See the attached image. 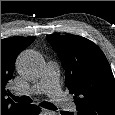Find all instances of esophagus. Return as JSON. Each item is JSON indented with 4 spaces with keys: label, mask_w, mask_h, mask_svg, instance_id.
<instances>
[{
    "label": "esophagus",
    "mask_w": 115,
    "mask_h": 115,
    "mask_svg": "<svg viewBox=\"0 0 115 115\" xmlns=\"http://www.w3.org/2000/svg\"><path fill=\"white\" fill-rule=\"evenodd\" d=\"M41 112L44 115H55V111H52V110L42 109Z\"/></svg>",
    "instance_id": "obj_1"
}]
</instances>
